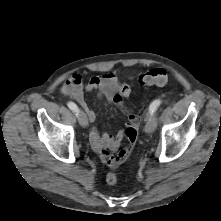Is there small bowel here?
Masks as SVG:
<instances>
[{
  "label": "small bowel",
  "instance_id": "obj_1",
  "mask_svg": "<svg viewBox=\"0 0 221 221\" xmlns=\"http://www.w3.org/2000/svg\"><path fill=\"white\" fill-rule=\"evenodd\" d=\"M118 77L113 73H107L102 76L93 77L86 84L87 91L97 90L100 98L105 99L108 103H113L116 94L121 88ZM61 91L63 94L72 97L85 110L87 117L91 123L96 120L95 111L88 105L83 92V81L80 74H72L63 84ZM139 121L135 114L128 115L127 127ZM124 130H120L116 134L101 133L95 126H91L89 132V140L92 148L97 152L104 163L113 156L120 147L124 137Z\"/></svg>",
  "mask_w": 221,
  "mask_h": 221
}]
</instances>
